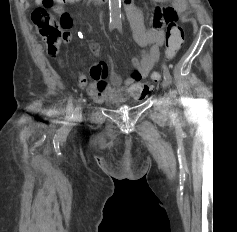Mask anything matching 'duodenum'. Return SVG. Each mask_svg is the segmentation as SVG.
<instances>
[{
	"mask_svg": "<svg viewBox=\"0 0 237 232\" xmlns=\"http://www.w3.org/2000/svg\"><path fill=\"white\" fill-rule=\"evenodd\" d=\"M89 1L94 2V3H102L105 0H89ZM130 2H131V0H125L126 5H129Z\"/></svg>",
	"mask_w": 237,
	"mask_h": 232,
	"instance_id": "duodenum-1",
	"label": "duodenum"
}]
</instances>
